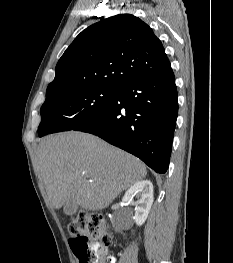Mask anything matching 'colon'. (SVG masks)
Wrapping results in <instances>:
<instances>
[{"label":"colon","mask_w":233,"mask_h":263,"mask_svg":"<svg viewBox=\"0 0 233 263\" xmlns=\"http://www.w3.org/2000/svg\"><path fill=\"white\" fill-rule=\"evenodd\" d=\"M68 233L72 251L79 263H105L111 237L101 213L79 212L69 221Z\"/></svg>","instance_id":"colon-1"}]
</instances>
